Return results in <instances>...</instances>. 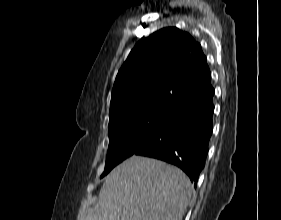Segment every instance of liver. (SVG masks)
<instances>
[{
	"instance_id": "1",
	"label": "liver",
	"mask_w": 281,
	"mask_h": 220,
	"mask_svg": "<svg viewBox=\"0 0 281 220\" xmlns=\"http://www.w3.org/2000/svg\"><path fill=\"white\" fill-rule=\"evenodd\" d=\"M192 192L181 169L132 156L106 176L97 203L77 220H182Z\"/></svg>"
}]
</instances>
